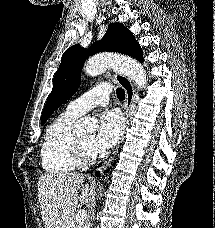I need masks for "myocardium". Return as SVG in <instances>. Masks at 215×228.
<instances>
[{"mask_svg":"<svg viewBox=\"0 0 215 228\" xmlns=\"http://www.w3.org/2000/svg\"><path fill=\"white\" fill-rule=\"evenodd\" d=\"M74 152L81 164H88L94 161V153L91 148L85 147L78 138L74 141Z\"/></svg>","mask_w":215,"mask_h":228,"instance_id":"1","label":"myocardium"}]
</instances>
